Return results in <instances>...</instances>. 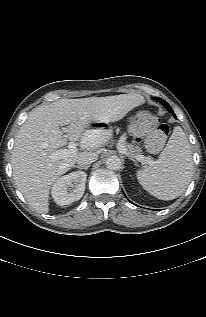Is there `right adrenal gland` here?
Segmentation results:
<instances>
[{
	"label": "right adrenal gland",
	"instance_id": "obj_1",
	"mask_svg": "<svg viewBox=\"0 0 206 317\" xmlns=\"http://www.w3.org/2000/svg\"><path fill=\"white\" fill-rule=\"evenodd\" d=\"M75 167H77V168H79V169H85V170H87V169L90 167V165H87V166H84V167H80V166H75Z\"/></svg>",
	"mask_w": 206,
	"mask_h": 317
}]
</instances>
